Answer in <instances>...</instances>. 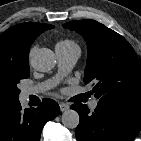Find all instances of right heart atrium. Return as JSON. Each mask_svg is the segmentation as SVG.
I'll use <instances>...</instances> for the list:
<instances>
[{
	"mask_svg": "<svg viewBox=\"0 0 141 141\" xmlns=\"http://www.w3.org/2000/svg\"><path fill=\"white\" fill-rule=\"evenodd\" d=\"M34 51H35V47L33 46V47H31L30 50H29V58L32 57Z\"/></svg>",
	"mask_w": 141,
	"mask_h": 141,
	"instance_id": "obj_1",
	"label": "right heart atrium"
}]
</instances>
